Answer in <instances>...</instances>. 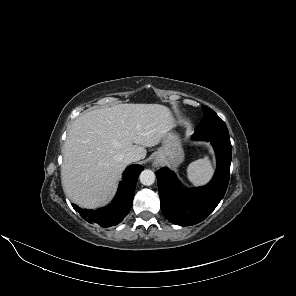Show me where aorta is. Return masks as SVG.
I'll return each instance as SVG.
<instances>
[{
	"mask_svg": "<svg viewBox=\"0 0 296 296\" xmlns=\"http://www.w3.org/2000/svg\"><path fill=\"white\" fill-rule=\"evenodd\" d=\"M155 173L149 169H146L141 172L139 179L140 182L145 186H150L155 182Z\"/></svg>",
	"mask_w": 296,
	"mask_h": 296,
	"instance_id": "762f6f07",
	"label": "aorta"
}]
</instances>
